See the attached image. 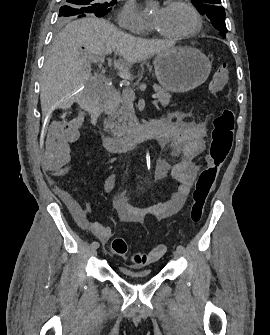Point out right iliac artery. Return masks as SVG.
Here are the masks:
<instances>
[{"instance_id":"82829eb1","label":"right iliac artery","mask_w":270,"mask_h":335,"mask_svg":"<svg viewBox=\"0 0 270 335\" xmlns=\"http://www.w3.org/2000/svg\"><path fill=\"white\" fill-rule=\"evenodd\" d=\"M125 192H126V191H125ZM125 192H123V193H125ZM91 247H93V248H98V247H99V243L96 242V241H94V242L91 243Z\"/></svg>"}]
</instances>
